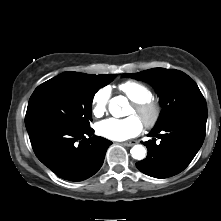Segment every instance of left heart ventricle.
<instances>
[{
	"label": "left heart ventricle",
	"mask_w": 221,
	"mask_h": 221,
	"mask_svg": "<svg viewBox=\"0 0 221 221\" xmlns=\"http://www.w3.org/2000/svg\"><path fill=\"white\" fill-rule=\"evenodd\" d=\"M129 114H130V115H136L137 117H139V119H140L141 121H142V119H143L141 116H139V115L135 112V110H134L133 107L131 108Z\"/></svg>",
	"instance_id": "left-heart-ventricle-1"
}]
</instances>
